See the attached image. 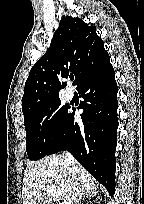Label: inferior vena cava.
<instances>
[{
	"mask_svg": "<svg viewBox=\"0 0 144 204\" xmlns=\"http://www.w3.org/2000/svg\"><path fill=\"white\" fill-rule=\"evenodd\" d=\"M66 156H67V162L68 164L71 166L70 168V174L73 175V169L75 167V159L74 157L70 154V153H66ZM76 192H73L71 197L68 198L67 200H65V204H78V201H79V194H78V189L76 188L75 189ZM79 197V198H78Z\"/></svg>",
	"mask_w": 144,
	"mask_h": 204,
	"instance_id": "inferior-vena-cava-1",
	"label": "inferior vena cava"
}]
</instances>
